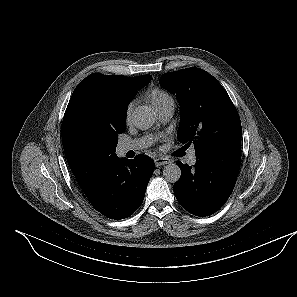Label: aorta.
I'll list each match as a JSON object with an SVG mask.
<instances>
[{"label": "aorta", "mask_w": 297, "mask_h": 297, "mask_svg": "<svg viewBox=\"0 0 297 297\" xmlns=\"http://www.w3.org/2000/svg\"><path fill=\"white\" fill-rule=\"evenodd\" d=\"M132 119L137 128L146 130L155 123V113L149 106H138L132 114ZM163 176L166 181L175 183L181 177V169L177 164L170 163L164 167Z\"/></svg>", "instance_id": "1"}]
</instances>
